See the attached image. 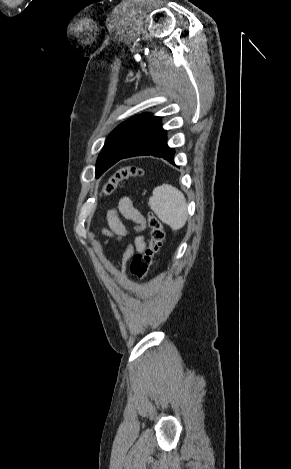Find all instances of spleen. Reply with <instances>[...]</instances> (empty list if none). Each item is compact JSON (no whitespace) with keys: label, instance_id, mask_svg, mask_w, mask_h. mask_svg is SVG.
Wrapping results in <instances>:
<instances>
[{"label":"spleen","instance_id":"spleen-1","mask_svg":"<svg viewBox=\"0 0 291 469\" xmlns=\"http://www.w3.org/2000/svg\"><path fill=\"white\" fill-rule=\"evenodd\" d=\"M148 205L172 230L181 229L187 220V203L185 196L177 188L162 184L153 190Z\"/></svg>","mask_w":291,"mask_h":469}]
</instances>
